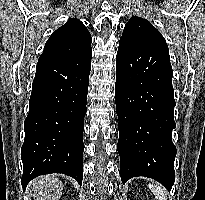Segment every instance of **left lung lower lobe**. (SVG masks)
I'll return each instance as SVG.
<instances>
[{
	"label": "left lung lower lobe",
	"mask_w": 205,
	"mask_h": 200,
	"mask_svg": "<svg viewBox=\"0 0 205 200\" xmlns=\"http://www.w3.org/2000/svg\"><path fill=\"white\" fill-rule=\"evenodd\" d=\"M173 71L166 43L119 42L115 103L122 183L153 178L171 190L175 181L176 127Z\"/></svg>",
	"instance_id": "left-lung-lower-lobe-1"
}]
</instances>
